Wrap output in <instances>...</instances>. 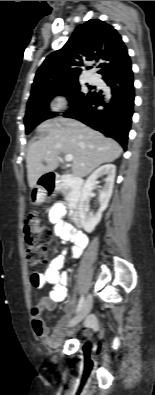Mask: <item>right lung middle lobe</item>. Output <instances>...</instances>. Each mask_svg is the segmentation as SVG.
Listing matches in <instances>:
<instances>
[{"mask_svg": "<svg viewBox=\"0 0 155 395\" xmlns=\"http://www.w3.org/2000/svg\"><path fill=\"white\" fill-rule=\"evenodd\" d=\"M90 93L84 94L80 91L78 80L65 81L43 88L31 96L27 103V111L24 119L26 134L30 133L39 123L54 115L49 111V100L54 96H66L72 106Z\"/></svg>", "mask_w": 155, "mask_h": 395, "instance_id": "obj_1", "label": "right lung middle lobe"}]
</instances>
